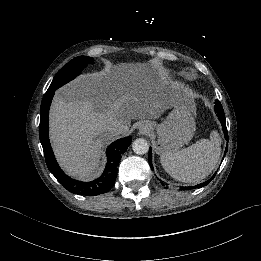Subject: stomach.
<instances>
[{"label": "stomach", "instance_id": "0dacf381", "mask_svg": "<svg viewBox=\"0 0 261 261\" xmlns=\"http://www.w3.org/2000/svg\"><path fill=\"white\" fill-rule=\"evenodd\" d=\"M170 93L173 111L166 121L157 127L159 138L155 142V149L160 155L175 153L193 137L195 131V122L191 115L195 110L192 93L179 84H176Z\"/></svg>", "mask_w": 261, "mask_h": 261}]
</instances>
